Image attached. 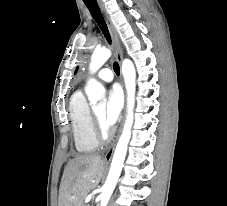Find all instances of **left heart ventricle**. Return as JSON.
Masks as SVG:
<instances>
[{
	"instance_id": "b2bd125f",
	"label": "left heart ventricle",
	"mask_w": 227,
	"mask_h": 206,
	"mask_svg": "<svg viewBox=\"0 0 227 206\" xmlns=\"http://www.w3.org/2000/svg\"><path fill=\"white\" fill-rule=\"evenodd\" d=\"M94 112L102 123V118H103V114H104V106L100 105V106L96 107Z\"/></svg>"
}]
</instances>
